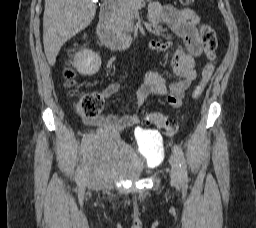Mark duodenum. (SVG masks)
Returning <instances> with one entry per match:
<instances>
[{"instance_id":"1","label":"duodenum","mask_w":256,"mask_h":228,"mask_svg":"<svg viewBox=\"0 0 256 228\" xmlns=\"http://www.w3.org/2000/svg\"><path fill=\"white\" fill-rule=\"evenodd\" d=\"M114 4L111 1L105 2L100 11L97 23V35L101 42L112 50H123L128 48L134 41L128 34L117 32L112 25Z\"/></svg>"}]
</instances>
